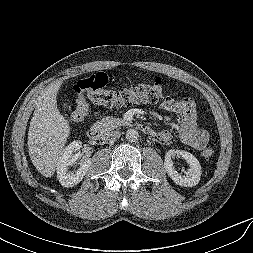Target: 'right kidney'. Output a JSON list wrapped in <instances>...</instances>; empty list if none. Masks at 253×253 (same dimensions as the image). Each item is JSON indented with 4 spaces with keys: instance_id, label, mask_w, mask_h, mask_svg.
Segmentation results:
<instances>
[{
    "instance_id": "right-kidney-1",
    "label": "right kidney",
    "mask_w": 253,
    "mask_h": 253,
    "mask_svg": "<svg viewBox=\"0 0 253 253\" xmlns=\"http://www.w3.org/2000/svg\"><path fill=\"white\" fill-rule=\"evenodd\" d=\"M82 147L80 141H73L61 153L57 162V178L63 187L69 188L77 185L84 178L89 167L92 164L91 158H85L80 163V168L74 172H68L69 166H72L80 157L79 154H73Z\"/></svg>"
}]
</instances>
